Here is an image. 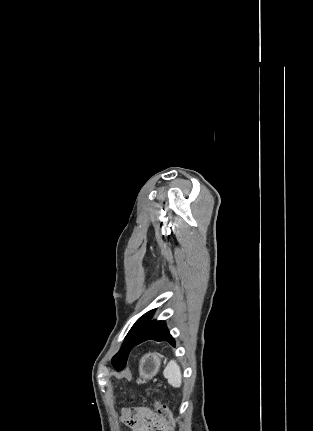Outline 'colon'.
Segmentation results:
<instances>
[{
	"mask_svg": "<svg viewBox=\"0 0 313 431\" xmlns=\"http://www.w3.org/2000/svg\"><path fill=\"white\" fill-rule=\"evenodd\" d=\"M155 407L159 418L156 431H173L174 419L170 408L160 402H156Z\"/></svg>",
	"mask_w": 313,
	"mask_h": 431,
	"instance_id": "1",
	"label": "colon"
}]
</instances>
